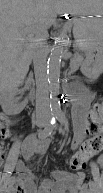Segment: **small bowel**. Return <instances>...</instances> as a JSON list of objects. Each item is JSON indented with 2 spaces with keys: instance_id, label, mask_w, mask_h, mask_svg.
Here are the masks:
<instances>
[{
  "instance_id": "c3829d8e",
  "label": "small bowel",
  "mask_w": 103,
  "mask_h": 193,
  "mask_svg": "<svg viewBox=\"0 0 103 193\" xmlns=\"http://www.w3.org/2000/svg\"><path fill=\"white\" fill-rule=\"evenodd\" d=\"M94 95L91 92H82L77 100L78 118L74 127V138L72 147L76 148L78 145H84V138L89 126V116L92 113L91 102ZM4 125H9L11 121L3 118ZM12 133L9 134V137ZM49 140L45 138H37L36 136H29L22 147V156L26 161H30L34 156L43 154L48 148ZM0 155L4 157L3 149ZM9 166L5 170H9ZM17 176L8 179V192L15 185L17 193H87L88 185L84 183L85 174L83 172L72 174L65 171H50L48 177L38 187L37 177L24 164L16 163ZM94 168V174L97 170ZM96 176V175H95Z\"/></svg>"
}]
</instances>
